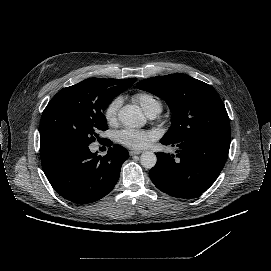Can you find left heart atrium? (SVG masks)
Instances as JSON below:
<instances>
[{"label": "left heart atrium", "mask_w": 271, "mask_h": 271, "mask_svg": "<svg viewBox=\"0 0 271 271\" xmlns=\"http://www.w3.org/2000/svg\"><path fill=\"white\" fill-rule=\"evenodd\" d=\"M151 139V133L143 129L125 128L117 132V141L130 149H142Z\"/></svg>", "instance_id": "1"}]
</instances>
